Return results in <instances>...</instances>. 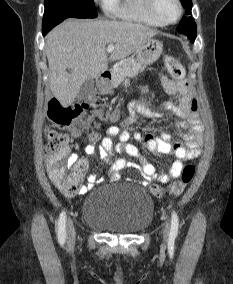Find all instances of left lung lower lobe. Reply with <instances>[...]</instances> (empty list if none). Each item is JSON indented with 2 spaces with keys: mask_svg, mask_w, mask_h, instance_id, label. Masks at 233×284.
Returning a JSON list of instances; mask_svg holds the SVG:
<instances>
[{
  "mask_svg": "<svg viewBox=\"0 0 233 284\" xmlns=\"http://www.w3.org/2000/svg\"><path fill=\"white\" fill-rule=\"evenodd\" d=\"M195 39H192L191 41L194 42Z\"/></svg>",
  "mask_w": 233,
  "mask_h": 284,
  "instance_id": "left-lung-lower-lobe-1",
  "label": "left lung lower lobe"
}]
</instances>
